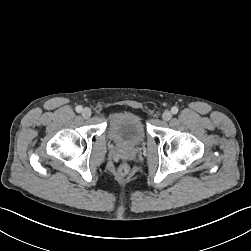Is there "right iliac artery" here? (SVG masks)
<instances>
[{
    "mask_svg": "<svg viewBox=\"0 0 251 251\" xmlns=\"http://www.w3.org/2000/svg\"><path fill=\"white\" fill-rule=\"evenodd\" d=\"M82 109H83L82 106H77L75 108L76 112H78V113H80L82 111Z\"/></svg>",
    "mask_w": 251,
    "mask_h": 251,
    "instance_id": "82829eb1",
    "label": "right iliac artery"
}]
</instances>
